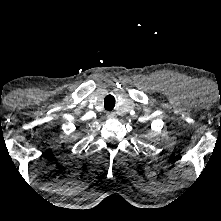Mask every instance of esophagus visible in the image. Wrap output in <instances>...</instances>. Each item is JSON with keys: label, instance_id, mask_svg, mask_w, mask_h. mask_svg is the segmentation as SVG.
Returning <instances> with one entry per match:
<instances>
[{"label": "esophagus", "instance_id": "obj_1", "mask_svg": "<svg viewBox=\"0 0 221 221\" xmlns=\"http://www.w3.org/2000/svg\"><path fill=\"white\" fill-rule=\"evenodd\" d=\"M106 116H107L108 118H115V117H116V114H115V112H107Z\"/></svg>", "mask_w": 221, "mask_h": 221}]
</instances>
